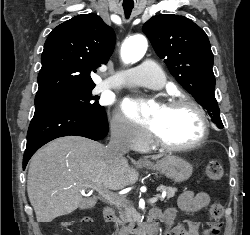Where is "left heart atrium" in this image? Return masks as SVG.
Here are the masks:
<instances>
[{
    "instance_id": "obj_1",
    "label": "left heart atrium",
    "mask_w": 250,
    "mask_h": 235,
    "mask_svg": "<svg viewBox=\"0 0 250 235\" xmlns=\"http://www.w3.org/2000/svg\"><path fill=\"white\" fill-rule=\"evenodd\" d=\"M123 109H124L125 113L128 116H130L131 118L138 120V121H142V119L140 118V115H139V104L137 102L126 100L123 103ZM147 124L152 126L151 121L147 122Z\"/></svg>"
}]
</instances>
